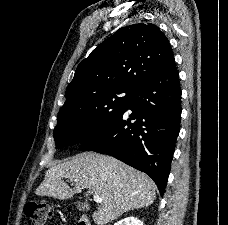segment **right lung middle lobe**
<instances>
[{"label": "right lung middle lobe", "instance_id": "dd1d6c3e", "mask_svg": "<svg viewBox=\"0 0 228 225\" xmlns=\"http://www.w3.org/2000/svg\"><path fill=\"white\" fill-rule=\"evenodd\" d=\"M134 89L113 85L63 105L54 130L57 148L81 143L124 107Z\"/></svg>", "mask_w": 228, "mask_h": 225}]
</instances>
